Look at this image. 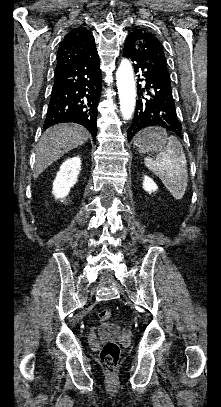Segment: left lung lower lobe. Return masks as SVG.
I'll return each mask as SVG.
<instances>
[{
	"instance_id": "0a47b994",
	"label": "left lung lower lobe",
	"mask_w": 221,
	"mask_h": 407,
	"mask_svg": "<svg viewBox=\"0 0 221 407\" xmlns=\"http://www.w3.org/2000/svg\"><path fill=\"white\" fill-rule=\"evenodd\" d=\"M123 56L133 62L135 73L140 72L146 81L144 88L138 85V100L128 139L148 126L162 127L181 137L182 125L176 115L170 75L158 71L140 55L131 35L125 41ZM144 91H147L148 98L143 96Z\"/></svg>"
}]
</instances>
